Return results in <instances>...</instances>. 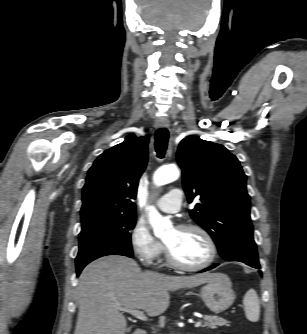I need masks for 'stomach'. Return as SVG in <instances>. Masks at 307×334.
I'll return each mask as SVG.
<instances>
[{"label": "stomach", "mask_w": 307, "mask_h": 334, "mask_svg": "<svg viewBox=\"0 0 307 334\" xmlns=\"http://www.w3.org/2000/svg\"><path fill=\"white\" fill-rule=\"evenodd\" d=\"M199 295L205 305L216 314L228 309L235 300L232 283L223 273H213V279L201 287Z\"/></svg>", "instance_id": "stomach-1"}]
</instances>
